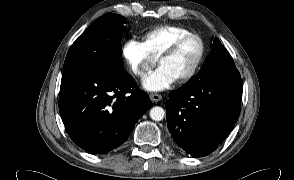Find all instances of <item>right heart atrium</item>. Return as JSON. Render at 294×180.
I'll list each match as a JSON object with an SVG mask.
<instances>
[{"label": "right heart atrium", "mask_w": 294, "mask_h": 180, "mask_svg": "<svg viewBox=\"0 0 294 180\" xmlns=\"http://www.w3.org/2000/svg\"><path fill=\"white\" fill-rule=\"evenodd\" d=\"M121 54L129 70L139 78L148 73L157 60L144 49L139 41L133 38L123 43Z\"/></svg>", "instance_id": "1"}]
</instances>
